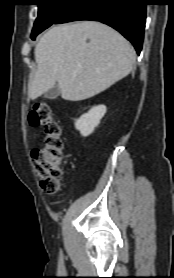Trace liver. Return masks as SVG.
Listing matches in <instances>:
<instances>
[{
    "label": "liver",
    "mask_w": 174,
    "mask_h": 278,
    "mask_svg": "<svg viewBox=\"0 0 174 278\" xmlns=\"http://www.w3.org/2000/svg\"><path fill=\"white\" fill-rule=\"evenodd\" d=\"M37 70L28 87L36 99L56 83L68 101L93 97L126 77L135 52L111 27L82 21L52 27L35 47Z\"/></svg>",
    "instance_id": "obj_1"
}]
</instances>
